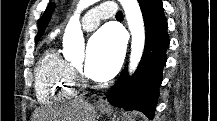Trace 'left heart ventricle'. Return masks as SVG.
Returning a JSON list of instances; mask_svg holds the SVG:
<instances>
[{"label": "left heart ventricle", "mask_w": 217, "mask_h": 121, "mask_svg": "<svg viewBox=\"0 0 217 121\" xmlns=\"http://www.w3.org/2000/svg\"><path fill=\"white\" fill-rule=\"evenodd\" d=\"M83 65H84V62H83V61H80V62H78V63H75V66H76L77 68H80V69H82Z\"/></svg>", "instance_id": "1"}]
</instances>
